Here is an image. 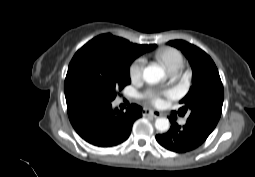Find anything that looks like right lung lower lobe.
Returning <instances> with one entry per match:
<instances>
[{
  "mask_svg": "<svg viewBox=\"0 0 255 177\" xmlns=\"http://www.w3.org/2000/svg\"><path fill=\"white\" fill-rule=\"evenodd\" d=\"M67 112L75 131L97 147H114L128 139L142 108L132 104L125 112L112 108V101L87 93L66 98Z\"/></svg>",
  "mask_w": 255,
  "mask_h": 177,
  "instance_id": "98d812e1",
  "label": "right lung lower lobe"
}]
</instances>
